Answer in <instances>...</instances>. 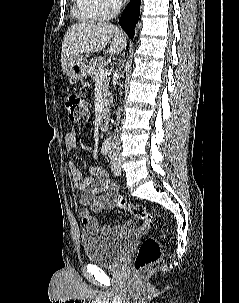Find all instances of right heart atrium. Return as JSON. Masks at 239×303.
I'll return each instance as SVG.
<instances>
[{"label": "right heart atrium", "instance_id": "d8ad5b80", "mask_svg": "<svg viewBox=\"0 0 239 303\" xmlns=\"http://www.w3.org/2000/svg\"><path fill=\"white\" fill-rule=\"evenodd\" d=\"M96 13L103 19L114 16L121 8L120 0H91Z\"/></svg>", "mask_w": 239, "mask_h": 303}]
</instances>
